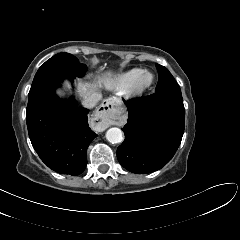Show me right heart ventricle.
Wrapping results in <instances>:
<instances>
[{
  "label": "right heart ventricle",
  "instance_id": "right-heart-ventricle-1",
  "mask_svg": "<svg viewBox=\"0 0 240 240\" xmlns=\"http://www.w3.org/2000/svg\"><path fill=\"white\" fill-rule=\"evenodd\" d=\"M145 72L141 68H133L108 81L110 88L121 90L130 88L134 82Z\"/></svg>",
  "mask_w": 240,
  "mask_h": 240
}]
</instances>
